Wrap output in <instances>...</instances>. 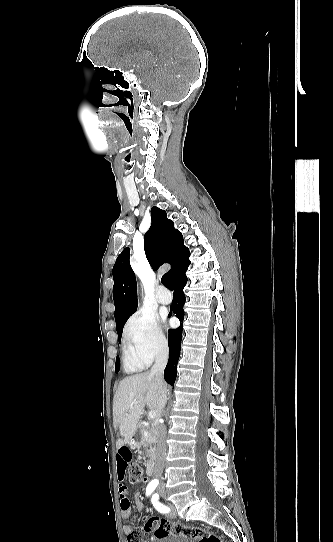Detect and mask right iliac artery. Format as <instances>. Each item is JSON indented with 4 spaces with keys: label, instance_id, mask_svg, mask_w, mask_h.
I'll list each match as a JSON object with an SVG mask.
<instances>
[{
    "label": "right iliac artery",
    "instance_id": "1",
    "mask_svg": "<svg viewBox=\"0 0 333 542\" xmlns=\"http://www.w3.org/2000/svg\"><path fill=\"white\" fill-rule=\"evenodd\" d=\"M158 483H150L146 488V495L149 496L157 487ZM154 506V505H153Z\"/></svg>",
    "mask_w": 333,
    "mask_h": 542
}]
</instances>
